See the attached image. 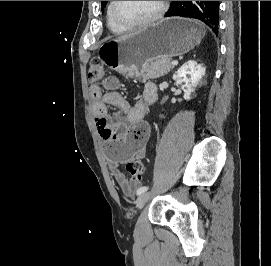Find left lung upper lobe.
<instances>
[{
	"label": "left lung upper lobe",
	"instance_id": "obj_1",
	"mask_svg": "<svg viewBox=\"0 0 271 266\" xmlns=\"http://www.w3.org/2000/svg\"><path fill=\"white\" fill-rule=\"evenodd\" d=\"M108 1H102V8H104V6L106 5Z\"/></svg>",
	"mask_w": 271,
	"mask_h": 266
}]
</instances>
